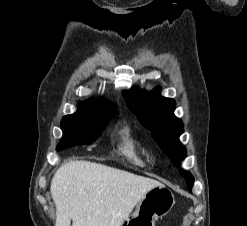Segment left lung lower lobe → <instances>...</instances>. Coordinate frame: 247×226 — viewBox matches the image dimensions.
I'll return each mask as SVG.
<instances>
[{
	"label": "left lung lower lobe",
	"instance_id": "left-lung-lower-lobe-1",
	"mask_svg": "<svg viewBox=\"0 0 247 226\" xmlns=\"http://www.w3.org/2000/svg\"><path fill=\"white\" fill-rule=\"evenodd\" d=\"M192 186H193V184H192V185H190V186H188V190H189V191H191Z\"/></svg>",
	"mask_w": 247,
	"mask_h": 226
}]
</instances>
